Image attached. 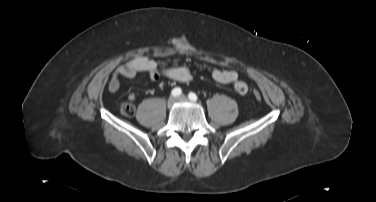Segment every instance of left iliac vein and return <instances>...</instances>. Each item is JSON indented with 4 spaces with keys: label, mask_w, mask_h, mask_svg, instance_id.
<instances>
[{
    "label": "left iliac vein",
    "mask_w": 376,
    "mask_h": 202,
    "mask_svg": "<svg viewBox=\"0 0 376 202\" xmlns=\"http://www.w3.org/2000/svg\"><path fill=\"white\" fill-rule=\"evenodd\" d=\"M187 100V97L185 95H180L178 97V101H186Z\"/></svg>",
    "instance_id": "1"
}]
</instances>
